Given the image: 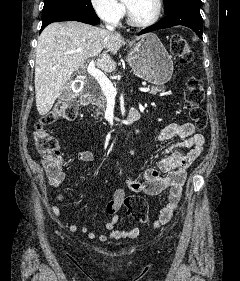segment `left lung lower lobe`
I'll list each match as a JSON object with an SVG mask.
<instances>
[{
  "label": "left lung lower lobe",
  "mask_w": 240,
  "mask_h": 281,
  "mask_svg": "<svg viewBox=\"0 0 240 281\" xmlns=\"http://www.w3.org/2000/svg\"><path fill=\"white\" fill-rule=\"evenodd\" d=\"M200 7L201 5L195 3L180 4L166 13V16L156 24L142 30L139 35L176 25H183L191 28L202 39Z\"/></svg>",
  "instance_id": "left-lung-lower-lobe-1"
}]
</instances>
